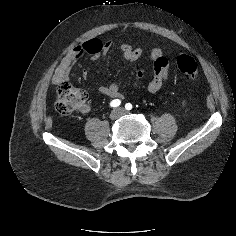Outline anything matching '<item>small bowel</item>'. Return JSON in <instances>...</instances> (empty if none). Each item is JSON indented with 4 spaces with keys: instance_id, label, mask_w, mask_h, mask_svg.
Instances as JSON below:
<instances>
[{
    "instance_id": "obj_1",
    "label": "small bowel",
    "mask_w": 236,
    "mask_h": 236,
    "mask_svg": "<svg viewBox=\"0 0 236 236\" xmlns=\"http://www.w3.org/2000/svg\"><path fill=\"white\" fill-rule=\"evenodd\" d=\"M111 46L112 41H101L98 38H91L83 44L77 45L61 60L57 66L52 77V83L56 86L67 83L69 80L70 71L76 61L83 58L84 56H89L92 60L97 61L108 53ZM120 51L123 58L129 62L137 60L143 54L142 48L134 47L127 43L120 46ZM150 57L153 62V78L149 82L147 90L151 94H156L161 90L168 78V60L164 56L162 50L158 47H155L151 50ZM88 76V72L84 71L83 78L87 79ZM98 90L103 95L114 100L122 97L119 86L116 82L100 85ZM90 109L91 108L88 104H85L81 107V111L83 113H88Z\"/></svg>"
}]
</instances>
